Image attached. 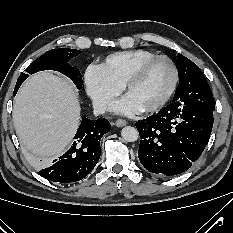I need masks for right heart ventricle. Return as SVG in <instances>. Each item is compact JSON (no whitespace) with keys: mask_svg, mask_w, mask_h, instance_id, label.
<instances>
[{"mask_svg":"<svg viewBox=\"0 0 233 233\" xmlns=\"http://www.w3.org/2000/svg\"><path fill=\"white\" fill-rule=\"evenodd\" d=\"M156 54L145 49L126 50L109 55L102 65L115 83L123 86L130 73Z\"/></svg>","mask_w":233,"mask_h":233,"instance_id":"obj_1","label":"right heart ventricle"}]
</instances>
